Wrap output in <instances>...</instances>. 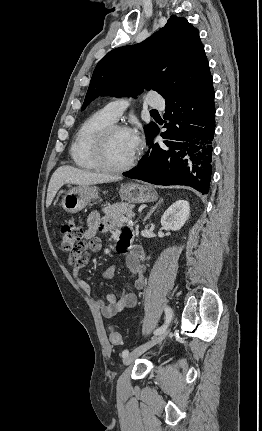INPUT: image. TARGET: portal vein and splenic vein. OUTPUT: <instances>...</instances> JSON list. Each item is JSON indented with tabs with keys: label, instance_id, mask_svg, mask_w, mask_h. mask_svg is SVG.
Returning <instances> with one entry per match:
<instances>
[{
	"label": "portal vein and splenic vein",
	"instance_id": "obj_1",
	"mask_svg": "<svg viewBox=\"0 0 262 431\" xmlns=\"http://www.w3.org/2000/svg\"><path fill=\"white\" fill-rule=\"evenodd\" d=\"M121 220L123 222H131V217L130 216H128V217H122Z\"/></svg>",
	"mask_w": 262,
	"mask_h": 431
}]
</instances>
